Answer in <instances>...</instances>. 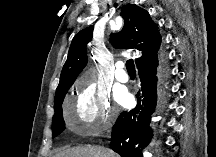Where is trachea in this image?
<instances>
[{
  "label": "trachea",
  "instance_id": "1",
  "mask_svg": "<svg viewBox=\"0 0 216 157\" xmlns=\"http://www.w3.org/2000/svg\"><path fill=\"white\" fill-rule=\"evenodd\" d=\"M126 68H127L128 73L136 74V70H135V65H134L133 59L127 60V62H126Z\"/></svg>",
  "mask_w": 216,
  "mask_h": 157
}]
</instances>
